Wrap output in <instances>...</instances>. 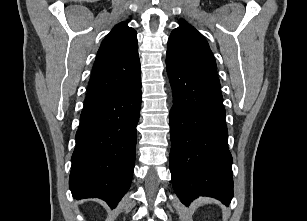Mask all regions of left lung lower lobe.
I'll use <instances>...</instances> for the list:
<instances>
[{
    "label": "left lung lower lobe",
    "mask_w": 307,
    "mask_h": 221,
    "mask_svg": "<svg viewBox=\"0 0 307 221\" xmlns=\"http://www.w3.org/2000/svg\"><path fill=\"white\" fill-rule=\"evenodd\" d=\"M166 67L174 103L169 158L174 190L186 206L201 195L227 205L233 178L222 93L168 55Z\"/></svg>",
    "instance_id": "obj_1"
}]
</instances>
